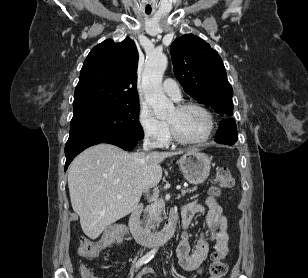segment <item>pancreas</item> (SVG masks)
I'll use <instances>...</instances> for the list:
<instances>
[{
    "label": "pancreas",
    "mask_w": 308,
    "mask_h": 278,
    "mask_svg": "<svg viewBox=\"0 0 308 278\" xmlns=\"http://www.w3.org/2000/svg\"><path fill=\"white\" fill-rule=\"evenodd\" d=\"M195 190L193 189H184L182 190V195H185L186 193H191ZM163 209H164V204L160 201H156L154 204L151 206L147 207L144 213L142 225L145 228V230H151L154 228L155 223L159 224L163 218Z\"/></svg>",
    "instance_id": "pancreas-1"
}]
</instances>
